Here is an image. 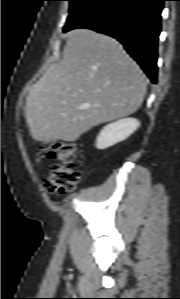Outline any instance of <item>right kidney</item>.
I'll list each match as a JSON object with an SVG mask.
<instances>
[{
    "instance_id": "ca27d5eb",
    "label": "right kidney",
    "mask_w": 180,
    "mask_h": 299,
    "mask_svg": "<svg viewBox=\"0 0 180 299\" xmlns=\"http://www.w3.org/2000/svg\"><path fill=\"white\" fill-rule=\"evenodd\" d=\"M140 123L135 118H125L105 126L96 139V148L106 149L133 134Z\"/></svg>"
}]
</instances>
